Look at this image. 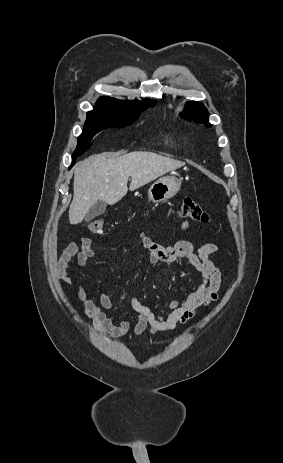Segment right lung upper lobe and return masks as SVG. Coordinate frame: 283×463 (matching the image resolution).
Returning <instances> with one entry per match:
<instances>
[{
  "instance_id": "1",
  "label": "right lung upper lobe",
  "mask_w": 283,
  "mask_h": 463,
  "mask_svg": "<svg viewBox=\"0 0 283 463\" xmlns=\"http://www.w3.org/2000/svg\"><path fill=\"white\" fill-rule=\"evenodd\" d=\"M97 103L104 104V105L121 104V105H131V106H147L155 102L150 101V100H146L142 102L135 100L133 102H130V101L117 100L111 97H101Z\"/></svg>"
}]
</instances>
